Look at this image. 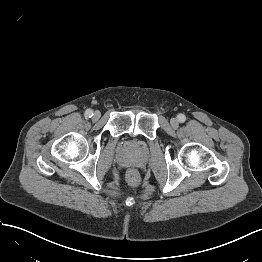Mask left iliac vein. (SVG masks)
<instances>
[{
    "mask_svg": "<svg viewBox=\"0 0 262 262\" xmlns=\"http://www.w3.org/2000/svg\"><path fill=\"white\" fill-rule=\"evenodd\" d=\"M170 123L173 128H177L179 126V121L176 118H172Z\"/></svg>",
    "mask_w": 262,
    "mask_h": 262,
    "instance_id": "4c4485c4",
    "label": "left iliac vein"
}]
</instances>
